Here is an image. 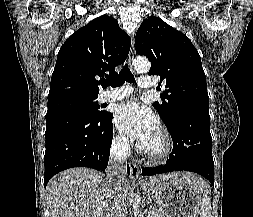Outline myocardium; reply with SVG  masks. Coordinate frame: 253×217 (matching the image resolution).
Masks as SVG:
<instances>
[{
    "label": "myocardium",
    "instance_id": "1",
    "mask_svg": "<svg viewBox=\"0 0 253 217\" xmlns=\"http://www.w3.org/2000/svg\"><path fill=\"white\" fill-rule=\"evenodd\" d=\"M158 133L161 138V148L158 151H150L145 147H140L142 155L153 162L165 160L172 152V139L168 130L164 127H160L158 128Z\"/></svg>",
    "mask_w": 253,
    "mask_h": 217
}]
</instances>
